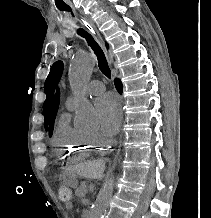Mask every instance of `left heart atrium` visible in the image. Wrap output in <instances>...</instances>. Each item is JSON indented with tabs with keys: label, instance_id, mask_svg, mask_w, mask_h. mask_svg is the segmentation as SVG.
<instances>
[{
	"label": "left heart atrium",
	"instance_id": "1",
	"mask_svg": "<svg viewBox=\"0 0 211 218\" xmlns=\"http://www.w3.org/2000/svg\"><path fill=\"white\" fill-rule=\"evenodd\" d=\"M101 132L107 136H114L120 127L122 111L118 99L112 93L100 96L95 103Z\"/></svg>",
	"mask_w": 211,
	"mask_h": 218
}]
</instances>
